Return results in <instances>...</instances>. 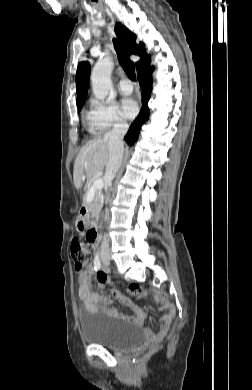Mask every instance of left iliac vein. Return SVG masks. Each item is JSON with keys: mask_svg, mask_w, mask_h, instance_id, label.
<instances>
[{"mask_svg": "<svg viewBox=\"0 0 252 390\" xmlns=\"http://www.w3.org/2000/svg\"><path fill=\"white\" fill-rule=\"evenodd\" d=\"M109 264V262L108 261H104V265H108Z\"/></svg>", "mask_w": 252, "mask_h": 390, "instance_id": "1", "label": "left iliac vein"}]
</instances>
